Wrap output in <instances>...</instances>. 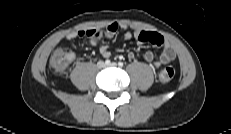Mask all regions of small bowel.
I'll list each match as a JSON object with an SVG mask.
<instances>
[{"label": "small bowel", "instance_id": "obj_1", "mask_svg": "<svg viewBox=\"0 0 231 134\" xmlns=\"http://www.w3.org/2000/svg\"><path fill=\"white\" fill-rule=\"evenodd\" d=\"M119 27L120 26L118 23H112L101 30L89 29L86 31H74L66 36V40L69 41L77 37L86 36L88 38L89 45L96 46L98 41L103 37L107 39L113 38L116 35ZM122 28L126 29L125 26H122ZM131 36L132 33L127 30L125 33V38H130ZM134 36L136 37L139 43L149 42L162 47V53L157 58H155L154 54L151 51H146L142 56L145 62L152 64L154 67L158 68L162 65L169 64L176 58V53L174 49L162 35L156 32L136 30L134 31ZM100 53L105 58H108L111 55V52L108 46L106 45H103L100 48ZM69 56L71 61L75 58V54L73 52H69ZM128 58L134 60L136 58V54L131 51L128 53Z\"/></svg>", "mask_w": 231, "mask_h": 134}]
</instances>
